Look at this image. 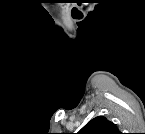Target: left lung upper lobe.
<instances>
[{
  "mask_svg": "<svg viewBox=\"0 0 145 134\" xmlns=\"http://www.w3.org/2000/svg\"><path fill=\"white\" fill-rule=\"evenodd\" d=\"M79 134H120L117 126L103 116L90 120Z\"/></svg>",
  "mask_w": 145,
  "mask_h": 134,
  "instance_id": "1",
  "label": "left lung upper lobe"
}]
</instances>
